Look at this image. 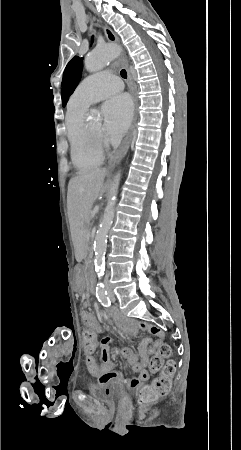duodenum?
Segmentation results:
<instances>
[{"label":"duodenum","mask_w":241,"mask_h":450,"mask_svg":"<svg viewBox=\"0 0 241 450\" xmlns=\"http://www.w3.org/2000/svg\"><path fill=\"white\" fill-rule=\"evenodd\" d=\"M88 275H89V288L90 291L94 292L96 290L97 280L94 273V267L90 263L88 266Z\"/></svg>","instance_id":"410a0bca"}]
</instances>
